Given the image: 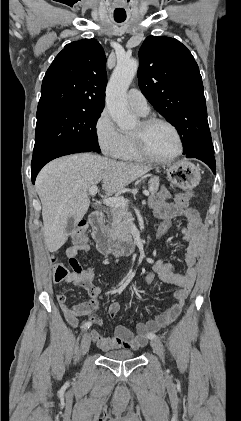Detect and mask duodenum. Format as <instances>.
<instances>
[{
	"label": "duodenum",
	"mask_w": 241,
	"mask_h": 421,
	"mask_svg": "<svg viewBox=\"0 0 241 421\" xmlns=\"http://www.w3.org/2000/svg\"><path fill=\"white\" fill-rule=\"evenodd\" d=\"M89 220L93 228L92 235L99 252L105 255L125 256L135 251L136 243L133 238L116 239L107 232L102 212H93Z\"/></svg>",
	"instance_id": "410a0bca"
}]
</instances>
